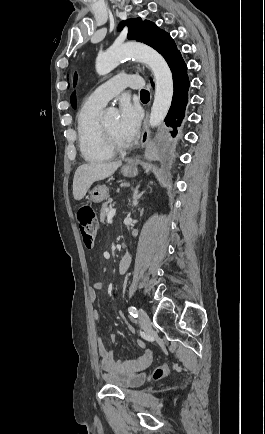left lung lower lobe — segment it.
I'll return each instance as SVG.
<instances>
[{
  "instance_id": "left-lung-lower-lobe-1",
  "label": "left lung lower lobe",
  "mask_w": 265,
  "mask_h": 434,
  "mask_svg": "<svg viewBox=\"0 0 265 434\" xmlns=\"http://www.w3.org/2000/svg\"><path fill=\"white\" fill-rule=\"evenodd\" d=\"M170 69L173 74L174 94L172 105L167 117L165 118V122L167 126L173 128V130L170 131L171 136L173 137V139H171V144L178 145L184 139L183 128L180 129L178 134L177 127H181L182 120L184 119L185 108L188 103V89L190 85L187 75V67L181 54L172 61Z\"/></svg>"
}]
</instances>
